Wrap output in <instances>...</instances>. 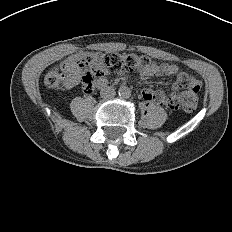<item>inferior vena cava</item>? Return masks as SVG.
Here are the masks:
<instances>
[{
	"label": "inferior vena cava",
	"instance_id": "inferior-vena-cava-1",
	"mask_svg": "<svg viewBox=\"0 0 232 232\" xmlns=\"http://www.w3.org/2000/svg\"><path fill=\"white\" fill-rule=\"evenodd\" d=\"M100 94L103 98H112L116 95V92L113 87L108 86V87H104L101 90Z\"/></svg>",
	"mask_w": 232,
	"mask_h": 232
}]
</instances>
